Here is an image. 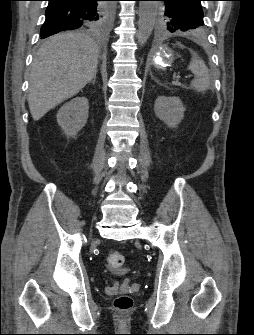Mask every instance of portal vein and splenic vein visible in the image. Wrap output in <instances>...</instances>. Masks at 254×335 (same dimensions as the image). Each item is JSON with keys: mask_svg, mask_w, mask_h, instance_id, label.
<instances>
[{"mask_svg": "<svg viewBox=\"0 0 254 335\" xmlns=\"http://www.w3.org/2000/svg\"><path fill=\"white\" fill-rule=\"evenodd\" d=\"M192 77V75H188V76H186V78H191Z\"/></svg>", "mask_w": 254, "mask_h": 335, "instance_id": "1", "label": "portal vein and splenic vein"}]
</instances>
